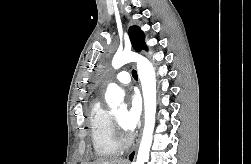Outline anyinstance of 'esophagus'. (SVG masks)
Returning <instances> with one entry per match:
<instances>
[{
    "instance_id": "esophagus-1",
    "label": "esophagus",
    "mask_w": 251,
    "mask_h": 164,
    "mask_svg": "<svg viewBox=\"0 0 251 164\" xmlns=\"http://www.w3.org/2000/svg\"><path fill=\"white\" fill-rule=\"evenodd\" d=\"M140 135H141V133H140ZM139 142H140V136H139V139L137 140L136 144L134 145V147L131 149L130 153L127 156L126 162L128 164H131L135 160L136 155H137V149H138Z\"/></svg>"
}]
</instances>
